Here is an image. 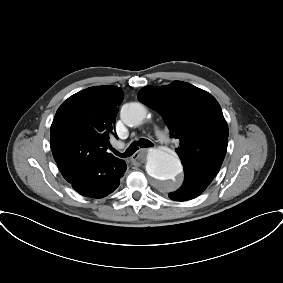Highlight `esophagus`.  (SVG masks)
I'll return each mask as SVG.
<instances>
[{"mask_svg":"<svg viewBox=\"0 0 283 283\" xmlns=\"http://www.w3.org/2000/svg\"><path fill=\"white\" fill-rule=\"evenodd\" d=\"M146 153H147L146 148L140 149L132 156L131 159H132V161L144 162Z\"/></svg>","mask_w":283,"mask_h":283,"instance_id":"1","label":"esophagus"}]
</instances>
